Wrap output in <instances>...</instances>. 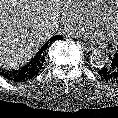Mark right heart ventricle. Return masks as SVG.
<instances>
[{
  "mask_svg": "<svg viewBox=\"0 0 118 118\" xmlns=\"http://www.w3.org/2000/svg\"><path fill=\"white\" fill-rule=\"evenodd\" d=\"M88 11L95 17L98 16L112 0H83Z\"/></svg>",
  "mask_w": 118,
  "mask_h": 118,
  "instance_id": "right-heart-ventricle-1",
  "label": "right heart ventricle"
}]
</instances>
